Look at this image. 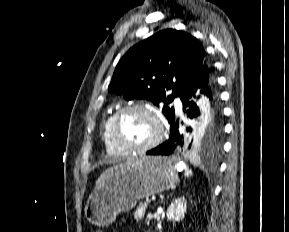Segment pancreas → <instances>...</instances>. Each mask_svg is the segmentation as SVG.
Wrapping results in <instances>:
<instances>
[{
    "instance_id": "pancreas-1",
    "label": "pancreas",
    "mask_w": 289,
    "mask_h": 232,
    "mask_svg": "<svg viewBox=\"0 0 289 232\" xmlns=\"http://www.w3.org/2000/svg\"><path fill=\"white\" fill-rule=\"evenodd\" d=\"M146 209H147V204L146 203H141L135 213H134V218L137 222L141 221L145 215V212H146Z\"/></svg>"
}]
</instances>
